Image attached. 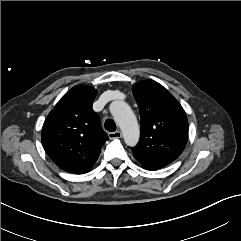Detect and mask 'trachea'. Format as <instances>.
Here are the masks:
<instances>
[{"instance_id": "1", "label": "trachea", "mask_w": 241, "mask_h": 241, "mask_svg": "<svg viewBox=\"0 0 241 241\" xmlns=\"http://www.w3.org/2000/svg\"><path fill=\"white\" fill-rule=\"evenodd\" d=\"M104 127L109 132L116 131V124L112 119H107L104 123Z\"/></svg>"}]
</instances>
